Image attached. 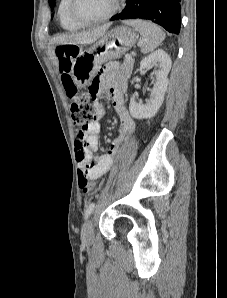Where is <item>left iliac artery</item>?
Listing matches in <instances>:
<instances>
[{
	"label": "left iliac artery",
	"mask_w": 227,
	"mask_h": 298,
	"mask_svg": "<svg viewBox=\"0 0 227 298\" xmlns=\"http://www.w3.org/2000/svg\"><path fill=\"white\" fill-rule=\"evenodd\" d=\"M95 208V203L92 202L89 204V206L87 207L86 211H85V220L89 218V216L92 214V212L94 211Z\"/></svg>",
	"instance_id": "left-iliac-artery-1"
}]
</instances>
